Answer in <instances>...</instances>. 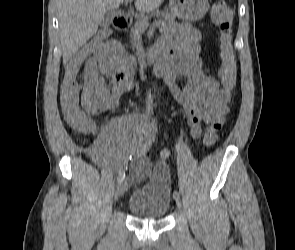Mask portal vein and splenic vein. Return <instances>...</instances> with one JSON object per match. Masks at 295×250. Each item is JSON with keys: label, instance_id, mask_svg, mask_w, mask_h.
<instances>
[{"label": "portal vein and splenic vein", "instance_id": "portal-vein-and-splenic-vein-1", "mask_svg": "<svg viewBox=\"0 0 295 250\" xmlns=\"http://www.w3.org/2000/svg\"><path fill=\"white\" fill-rule=\"evenodd\" d=\"M126 1V3H131L132 2V0H125ZM163 24V22H161V21H155V22H153V26H156V27H160L161 25ZM148 26H149V23H146V22H143L142 23V27H145L146 29L148 28Z\"/></svg>", "mask_w": 295, "mask_h": 250}]
</instances>
